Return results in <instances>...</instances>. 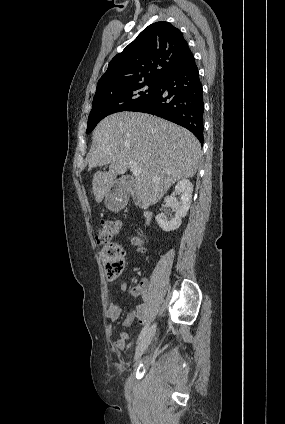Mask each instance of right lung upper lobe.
Wrapping results in <instances>:
<instances>
[{
    "instance_id": "obj_1",
    "label": "right lung upper lobe",
    "mask_w": 285,
    "mask_h": 424,
    "mask_svg": "<svg viewBox=\"0 0 285 424\" xmlns=\"http://www.w3.org/2000/svg\"><path fill=\"white\" fill-rule=\"evenodd\" d=\"M193 59L181 31L168 22H156L111 60L96 91L139 81H162Z\"/></svg>"
}]
</instances>
